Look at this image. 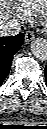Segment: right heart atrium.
<instances>
[{"mask_svg": "<svg viewBox=\"0 0 47 129\" xmlns=\"http://www.w3.org/2000/svg\"><path fill=\"white\" fill-rule=\"evenodd\" d=\"M14 13L16 17L21 21H26L29 18L27 14L19 6L14 7Z\"/></svg>", "mask_w": 47, "mask_h": 129, "instance_id": "1", "label": "right heart atrium"}]
</instances>
